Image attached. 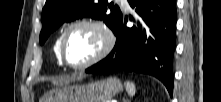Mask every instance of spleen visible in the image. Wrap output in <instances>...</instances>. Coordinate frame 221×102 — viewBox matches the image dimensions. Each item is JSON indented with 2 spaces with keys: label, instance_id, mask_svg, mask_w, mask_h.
I'll return each mask as SVG.
<instances>
[{
  "label": "spleen",
  "instance_id": "3e777b00",
  "mask_svg": "<svg viewBox=\"0 0 221 102\" xmlns=\"http://www.w3.org/2000/svg\"><path fill=\"white\" fill-rule=\"evenodd\" d=\"M125 89L130 97L135 95L136 88H135L134 83L130 81L125 82Z\"/></svg>",
  "mask_w": 221,
  "mask_h": 102
}]
</instances>
